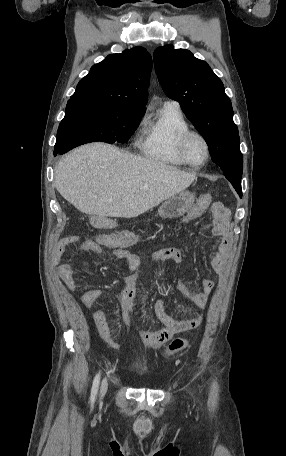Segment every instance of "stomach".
<instances>
[{
  "label": "stomach",
  "instance_id": "obj_1",
  "mask_svg": "<svg viewBox=\"0 0 286 456\" xmlns=\"http://www.w3.org/2000/svg\"><path fill=\"white\" fill-rule=\"evenodd\" d=\"M194 195L188 191H182L166 199L158 209V215L162 218H176L183 216L194 204Z\"/></svg>",
  "mask_w": 286,
  "mask_h": 456
}]
</instances>
